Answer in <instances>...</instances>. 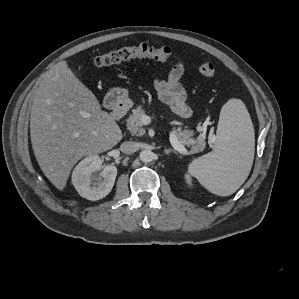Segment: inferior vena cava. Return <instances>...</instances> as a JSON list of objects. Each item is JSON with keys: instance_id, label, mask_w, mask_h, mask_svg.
Listing matches in <instances>:
<instances>
[{"instance_id": "602c4592", "label": "inferior vena cava", "mask_w": 299, "mask_h": 299, "mask_svg": "<svg viewBox=\"0 0 299 299\" xmlns=\"http://www.w3.org/2000/svg\"><path fill=\"white\" fill-rule=\"evenodd\" d=\"M120 150L123 153L131 154L138 150V145L135 142L127 141L121 144Z\"/></svg>"}]
</instances>
